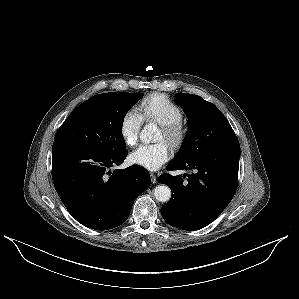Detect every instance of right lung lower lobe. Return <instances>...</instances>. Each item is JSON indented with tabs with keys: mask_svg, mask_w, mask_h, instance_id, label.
I'll use <instances>...</instances> for the list:
<instances>
[{
	"mask_svg": "<svg viewBox=\"0 0 299 299\" xmlns=\"http://www.w3.org/2000/svg\"><path fill=\"white\" fill-rule=\"evenodd\" d=\"M52 179L69 213L82 225L107 230L124 223L134 200L150 186L139 165L110 171L127 155H110L68 143L53 145Z\"/></svg>",
	"mask_w": 299,
	"mask_h": 299,
	"instance_id": "obj_1",
	"label": "right lung lower lobe"
}]
</instances>
